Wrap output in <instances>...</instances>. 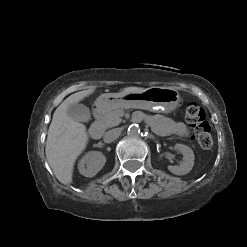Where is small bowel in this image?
I'll return each mask as SVG.
<instances>
[{
    "label": "small bowel",
    "instance_id": "1",
    "mask_svg": "<svg viewBox=\"0 0 247 247\" xmlns=\"http://www.w3.org/2000/svg\"><path fill=\"white\" fill-rule=\"evenodd\" d=\"M149 121L158 135L165 136L169 134H177L185 136L189 130L185 124L173 121L164 115H156L149 118Z\"/></svg>",
    "mask_w": 247,
    "mask_h": 247
}]
</instances>
